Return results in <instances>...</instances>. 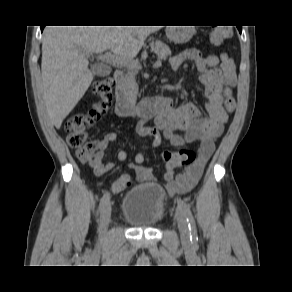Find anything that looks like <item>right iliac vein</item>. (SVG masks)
I'll return each instance as SVG.
<instances>
[{
    "label": "right iliac vein",
    "instance_id": "63e3f726",
    "mask_svg": "<svg viewBox=\"0 0 292 292\" xmlns=\"http://www.w3.org/2000/svg\"><path fill=\"white\" fill-rule=\"evenodd\" d=\"M111 211H112L111 202H108L102 209V212L100 215V228H99L100 234L105 233L108 228Z\"/></svg>",
    "mask_w": 292,
    "mask_h": 292
}]
</instances>
